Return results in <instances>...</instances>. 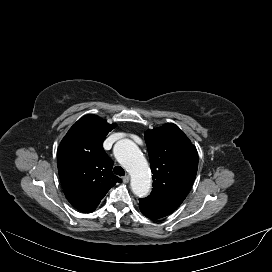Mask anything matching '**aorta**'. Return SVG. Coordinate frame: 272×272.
I'll use <instances>...</instances> for the list:
<instances>
[{
	"mask_svg": "<svg viewBox=\"0 0 272 272\" xmlns=\"http://www.w3.org/2000/svg\"><path fill=\"white\" fill-rule=\"evenodd\" d=\"M114 155L131 175V188L138 197H145L151 187V176L145 157L138 146L129 139L118 141Z\"/></svg>",
	"mask_w": 272,
	"mask_h": 272,
	"instance_id": "762f6f07",
	"label": "aorta"
}]
</instances>
